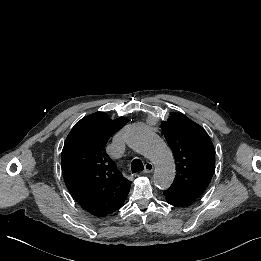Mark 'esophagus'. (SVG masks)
<instances>
[{"label":"esophagus","instance_id":"esophagus-1","mask_svg":"<svg viewBox=\"0 0 261 261\" xmlns=\"http://www.w3.org/2000/svg\"><path fill=\"white\" fill-rule=\"evenodd\" d=\"M154 170V165L151 163V162H147L145 164V168H144V171L143 173H150Z\"/></svg>","mask_w":261,"mask_h":261}]
</instances>
